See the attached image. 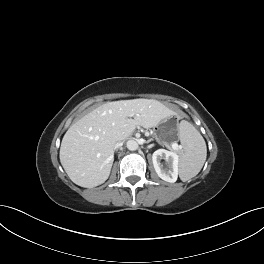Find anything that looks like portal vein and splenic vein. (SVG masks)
<instances>
[{"instance_id":"portal-vein-and-splenic-vein-1","label":"portal vein and splenic vein","mask_w":264,"mask_h":264,"mask_svg":"<svg viewBox=\"0 0 264 264\" xmlns=\"http://www.w3.org/2000/svg\"><path fill=\"white\" fill-rule=\"evenodd\" d=\"M171 147L174 149V150H177L179 148V145L177 143H172L171 144Z\"/></svg>"}]
</instances>
